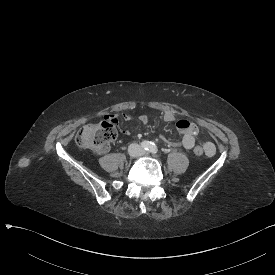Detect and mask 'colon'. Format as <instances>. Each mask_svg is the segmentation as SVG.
<instances>
[{
  "instance_id": "1",
  "label": "colon",
  "mask_w": 275,
  "mask_h": 275,
  "mask_svg": "<svg viewBox=\"0 0 275 275\" xmlns=\"http://www.w3.org/2000/svg\"><path fill=\"white\" fill-rule=\"evenodd\" d=\"M118 130V124L113 120L87 123L78 131L75 140L82 149L104 154L108 152L111 143L117 137ZM194 152L203 155L205 149L203 146H196Z\"/></svg>"
}]
</instances>
